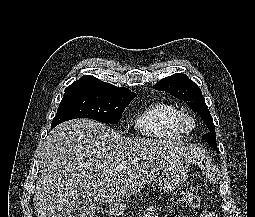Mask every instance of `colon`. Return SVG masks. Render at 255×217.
<instances>
[{
    "instance_id": "obj_1",
    "label": "colon",
    "mask_w": 255,
    "mask_h": 217,
    "mask_svg": "<svg viewBox=\"0 0 255 217\" xmlns=\"http://www.w3.org/2000/svg\"><path fill=\"white\" fill-rule=\"evenodd\" d=\"M173 201L176 204L196 208L199 206V199L192 187L183 185L179 187L173 194Z\"/></svg>"
}]
</instances>
